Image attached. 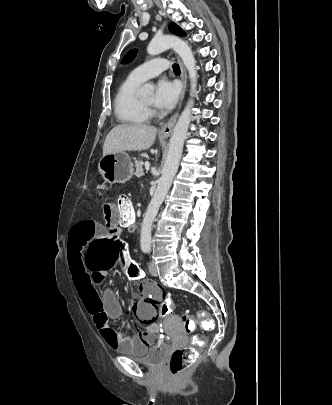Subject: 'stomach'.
<instances>
[{
	"label": "stomach",
	"mask_w": 332,
	"mask_h": 405,
	"mask_svg": "<svg viewBox=\"0 0 332 405\" xmlns=\"http://www.w3.org/2000/svg\"><path fill=\"white\" fill-rule=\"evenodd\" d=\"M98 169L104 180L109 183L125 182L134 173V165L126 152L104 155L99 161Z\"/></svg>",
	"instance_id": "0dacf381"
}]
</instances>
